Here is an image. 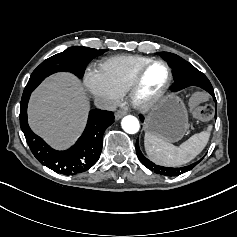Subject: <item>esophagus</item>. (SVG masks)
Returning a JSON list of instances; mask_svg holds the SVG:
<instances>
[{
	"mask_svg": "<svg viewBox=\"0 0 237 237\" xmlns=\"http://www.w3.org/2000/svg\"><path fill=\"white\" fill-rule=\"evenodd\" d=\"M126 113H127L126 110H123V109L118 110V111L115 113V119H116V120L121 119L123 116L126 115Z\"/></svg>",
	"mask_w": 237,
	"mask_h": 237,
	"instance_id": "34e87169",
	"label": "esophagus"
}]
</instances>
